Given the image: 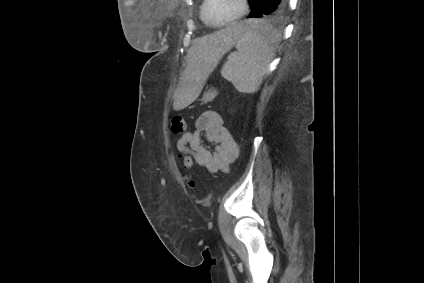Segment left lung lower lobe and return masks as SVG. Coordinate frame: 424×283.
<instances>
[{
  "label": "left lung lower lobe",
  "mask_w": 424,
  "mask_h": 283,
  "mask_svg": "<svg viewBox=\"0 0 424 283\" xmlns=\"http://www.w3.org/2000/svg\"><path fill=\"white\" fill-rule=\"evenodd\" d=\"M288 0H258L256 10L250 14L249 18H265L266 16L276 13L278 10H285Z\"/></svg>",
  "instance_id": "left-lung-lower-lobe-1"
}]
</instances>
